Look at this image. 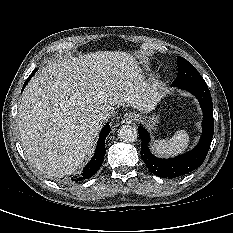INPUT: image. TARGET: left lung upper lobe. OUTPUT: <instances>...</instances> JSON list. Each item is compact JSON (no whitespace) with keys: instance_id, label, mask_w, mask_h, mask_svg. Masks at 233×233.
<instances>
[{"instance_id":"obj_1","label":"left lung upper lobe","mask_w":233,"mask_h":233,"mask_svg":"<svg viewBox=\"0 0 233 233\" xmlns=\"http://www.w3.org/2000/svg\"><path fill=\"white\" fill-rule=\"evenodd\" d=\"M178 74L172 86L182 84H203L206 83L199 72L186 59L177 57Z\"/></svg>"}]
</instances>
